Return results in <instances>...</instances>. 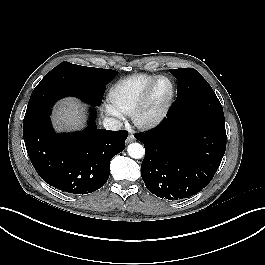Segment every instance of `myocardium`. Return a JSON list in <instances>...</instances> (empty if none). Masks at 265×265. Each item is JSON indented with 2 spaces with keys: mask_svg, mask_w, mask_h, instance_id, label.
Listing matches in <instances>:
<instances>
[{
  "mask_svg": "<svg viewBox=\"0 0 265 265\" xmlns=\"http://www.w3.org/2000/svg\"><path fill=\"white\" fill-rule=\"evenodd\" d=\"M162 79H166L169 81L171 86V92L163 108L160 111L151 114L148 112V105L156 84ZM175 96L176 87L174 81L167 75L156 76L147 86L131 113V119L133 124L141 130H150L157 127L168 116L173 106Z\"/></svg>",
  "mask_w": 265,
  "mask_h": 265,
  "instance_id": "f54148a6",
  "label": "myocardium"
}]
</instances>
